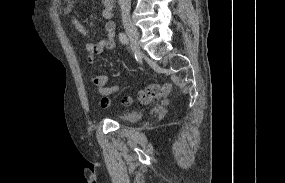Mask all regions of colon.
Segmentation results:
<instances>
[{
    "mask_svg": "<svg viewBox=\"0 0 285 183\" xmlns=\"http://www.w3.org/2000/svg\"><path fill=\"white\" fill-rule=\"evenodd\" d=\"M124 102H125V104L130 105V104H132L133 100H132V98H130V97H126V98L124 99Z\"/></svg>",
    "mask_w": 285,
    "mask_h": 183,
    "instance_id": "1",
    "label": "colon"
}]
</instances>
